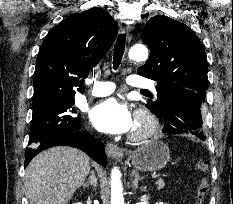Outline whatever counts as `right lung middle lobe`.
I'll return each mask as SVG.
<instances>
[{"instance_id":"right-lung-middle-lobe-1","label":"right lung middle lobe","mask_w":233,"mask_h":204,"mask_svg":"<svg viewBox=\"0 0 233 204\" xmlns=\"http://www.w3.org/2000/svg\"><path fill=\"white\" fill-rule=\"evenodd\" d=\"M74 98L52 99L33 104L29 147L34 150L50 137L81 128V116L73 107Z\"/></svg>"}]
</instances>
